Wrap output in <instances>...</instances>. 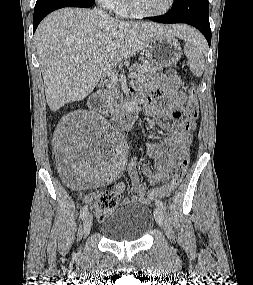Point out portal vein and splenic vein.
<instances>
[{
	"mask_svg": "<svg viewBox=\"0 0 253 285\" xmlns=\"http://www.w3.org/2000/svg\"><path fill=\"white\" fill-rule=\"evenodd\" d=\"M98 61H99V63H101L100 60H98ZM102 66H103V65H102ZM104 70H105L106 74H107L108 76H110V78H111L113 81H118L117 74H115V72L111 69V66L105 68ZM136 77H137V73H135V72H131V73L128 74V78H130V79H134V78H136Z\"/></svg>",
	"mask_w": 253,
	"mask_h": 285,
	"instance_id": "18ae733b",
	"label": "portal vein and splenic vein"
}]
</instances>
